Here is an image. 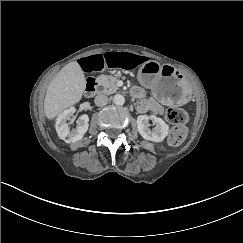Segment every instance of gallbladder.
I'll use <instances>...</instances> for the list:
<instances>
[{
  "label": "gallbladder",
  "mask_w": 243,
  "mask_h": 243,
  "mask_svg": "<svg viewBox=\"0 0 243 243\" xmlns=\"http://www.w3.org/2000/svg\"><path fill=\"white\" fill-rule=\"evenodd\" d=\"M90 73H91V74H94V73H95V70H94V69H91V70H90Z\"/></svg>",
  "instance_id": "obj_1"
}]
</instances>
